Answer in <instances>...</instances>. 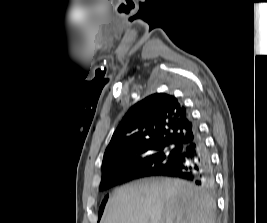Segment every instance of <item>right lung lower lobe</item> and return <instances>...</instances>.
<instances>
[{
	"label": "right lung lower lobe",
	"mask_w": 267,
	"mask_h": 223,
	"mask_svg": "<svg viewBox=\"0 0 267 223\" xmlns=\"http://www.w3.org/2000/svg\"><path fill=\"white\" fill-rule=\"evenodd\" d=\"M197 137L193 142L185 146L175 161V163L162 171L153 175L141 174L137 172L124 173L108 178L102 189L121 185L133 179L148 176H164L184 179L201 185L204 188H212L214 177L212 171L211 159L197 128Z\"/></svg>",
	"instance_id": "obj_1"
}]
</instances>
